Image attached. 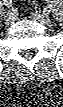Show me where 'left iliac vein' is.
I'll return each mask as SVG.
<instances>
[{"instance_id": "4c4485c4", "label": "left iliac vein", "mask_w": 63, "mask_h": 107, "mask_svg": "<svg viewBox=\"0 0 63 107\" xmlns=\"http://www.w3.org/2000/svg\"><path fill=\"white\" fill-rule=\"evenodd\" d=\"M34 18L42 24L49 26L51 24V18L47 14H43L39 11L34 12Z\"/></svg>"}]
</instances>
